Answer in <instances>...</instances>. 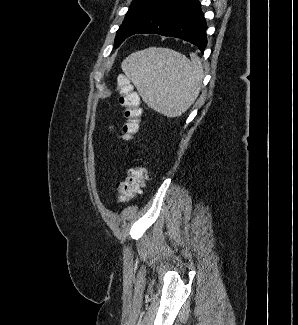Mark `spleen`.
<instances>
[{"instance_id": "obj_1", "label": "spleen", "mask_w": 298, "mask_h": 325, "mask_svg": "<svg viewBox=\"0 0 298 325\" xmlns=\"http://www.w3.org/2000/svg\"><path fill=\"white\" fill-rule=\"evenodd\" d=\"M144 102L164 116H181L196 100L204 76L199 56L149 46L131 52L121 62Z\"/></svg>"}]
</instances>
